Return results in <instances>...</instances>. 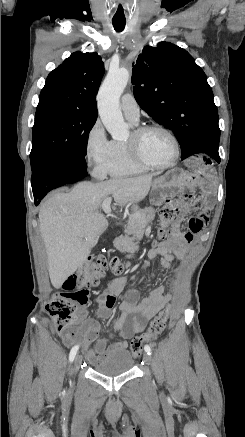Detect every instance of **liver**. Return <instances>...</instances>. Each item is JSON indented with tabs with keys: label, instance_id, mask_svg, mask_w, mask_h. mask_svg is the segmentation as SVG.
Returning <instances> with one entry per match:
<instances>
[{
	"label": "liver",
	"instance_id": "6515ba94",
	"mask_svg": "<svg viewBox=\"0 0 245 437\" xmlns=\"http://www.w3.org/2000/svg\"><path fill=\"white\" fill-rule=\"evenodd\" d=\"M154 175L81 182L68 193H53L42 204L40 232L55 288H60L86 260L108 228L106 217L99 212L103 201L112 196L119 207L140 202L147 196Z\"/></svg>",
	"mask_w": 245,
	"mask_h": 437
}]
</instances>
